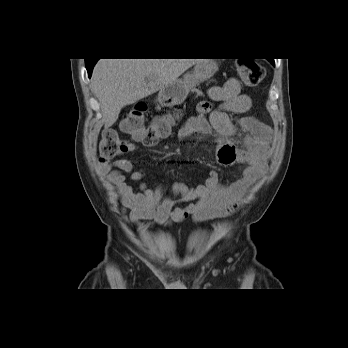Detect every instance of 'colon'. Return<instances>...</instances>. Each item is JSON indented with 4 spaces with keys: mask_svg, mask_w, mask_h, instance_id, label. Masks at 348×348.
<instances>
[{
    "mask_svg": "<svg viewBox=\"0 0 348 348\" xmlns=\"http://www.w3.org/2000/svg\"><path fill=\"white\" fill-rule=\"evenodd\" d=\"M241 80L250 87H256L263 80L265 69L256 60L240 59L237 62ZM147 108L144 104L134 106L122 119L121 130L128 133L133 139L144 144H155L166 137L178 120L175 114L155 118L150 125L145 124ZM129 144L123 140L115 130L103 133L99 142V161L107 163L114 158L126 154Z\"/></svg>",
    "mask_w": 348,
    "mask_h": 348,
    "instance_id": "obj_1",
    "label": "colon"
}]
</instances>
